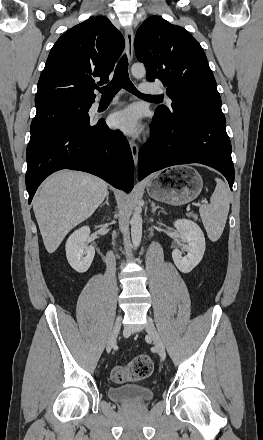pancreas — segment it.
<instances>
[{"mask_svg": "<svg viewBox=\"0 0 263 440\" xmlns=\"http://www.w3.org/2000/svg\"><path fill=\"white\" fill-rule=\"evenodd\" d=\"M191 216H192L194 219H198L197 215H195V214H191Z\"/></svg>", "mask_w": 263, "mask_h": 440, "instance_id": "cf45deb5", "label": "pancreas"}]
</instances>
